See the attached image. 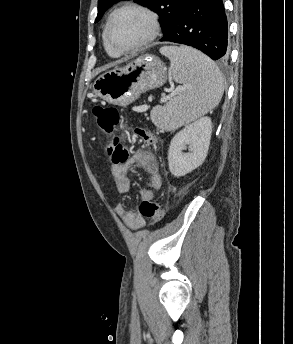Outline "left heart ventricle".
I'll list each match as a JSON object with an SVG mask.
<instances>
[{
	"label": "left heart ventricle",
	"instance_id": "1",
	"mask_svg": "<svg viewBox=\"0 0 293 344\" xmlns=\"http://www.w3.org/2000/svg\"><path fill=\"white\" fill-rule=\"evenodd\" d=\"M148 32V21L141 13L126 10L119 13L110 27V39L117 48L139 43Z\"/></svg>",
	"mask_w": 293,
	"mask_h": 344
}]
</instances>
